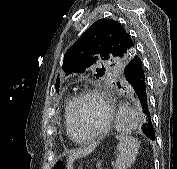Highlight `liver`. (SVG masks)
<instances>
[{
	"mask_svg": "<svg viewBox=\"0 0 177 169\" xmlns=\"http://www.w3.org/2000/svg\"><path fill=\"white\" fill-rule=\"evenodd\" d=\"M85 153H86L85 150L84 151L82 150V151L74 152L68 159V166L71 167L72 164H73V161L76 158L80 157L81 155H84Z\"/></svg>",
	"mask_w": 177,
	"mask_h": 169,
	"instance_id": "6515ba94",
	"label": "liver"
}]
</instances>
